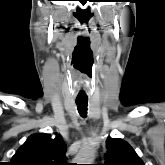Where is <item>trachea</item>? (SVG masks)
Returning a JSON list of instances; mask_svg holds the SVG:
<instances>
[{
    "label": "trachea",
    "mask_w": 165,
    "mask_h": 165,
    "mask_svg": "<svg viewBox=\"0 0 165 165\" xmlns=\"http://www.w3.org/2000/svg\"><path fill=\"white\" fill-rule=\"evenodd\" d=\"M76 104L79 114L85 118L87 115L88 98H77Z\"/></svg>",
    "instance_id": "1"
}]
</instances>
